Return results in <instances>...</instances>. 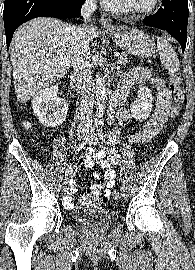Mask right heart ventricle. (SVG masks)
<instances>
[{"mask_svg": "<svg viewBox=\"0 0 195 270\" xmlns=\"http://www.w3.org/2000/svg\"><path fill=\"white\" fill-rule=\"evenodd\" d=\"M106 5H107V7H108L110 10H112V11H114V12H117V13H124V12L121 10L120 5H119V3H118L117 0H108V1L106 2Z\"/></svg>", "mask_w": 195, "mask_h": 270, "instance_id": "obj_1", "label": "right heart ventricle"}]
</instances>
